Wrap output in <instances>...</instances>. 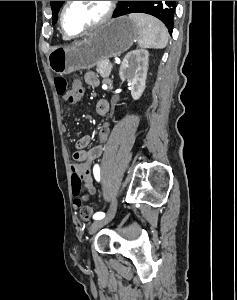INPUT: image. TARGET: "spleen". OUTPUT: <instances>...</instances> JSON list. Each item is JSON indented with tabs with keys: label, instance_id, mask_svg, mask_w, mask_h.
Returning <instances> with one entry per match:
<instances>
[{
	"label": "spleen",
	"instance_id": "3e777b00",
	"mask_svg": "<svg viewBox=\"0 0 237 300\" xmlns=\"http://www.w3.org/2000/svg\"><path fill=\"white\" fill-rule=\"evenodd\" d=\"M130 21L137 25L138 45L141 49H164L168 43V31L155 17L144 15V13H132L129 15Z\"/></svg>",
	"mask_w": 237,
	"mask_h": 300
}]
</instances>
